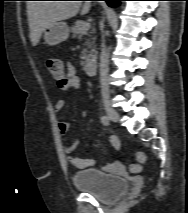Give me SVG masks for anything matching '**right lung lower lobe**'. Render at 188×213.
Returning <instances> with one entry per match:
<instances>
[{
    "instance_id": "98d812e1",
    "label": "right lung lower lobe",
    "mask_w": 188,
    "mask_h": 213,
    "mask_svg": "<svg viewBox=\"0 0 188 213\" xmlns=\"http://www.w3.org/2000/svg\"><path fill=\"white\" fill-rule=\"evenodd\" d=\"M96 1V0H95ZM101 1H106L107 4L110 6V7H116L117 5H119L120 1L122 0H101Z\"/></svg>"
}]
</instances>
